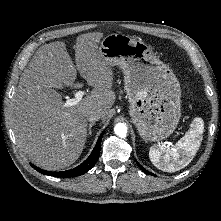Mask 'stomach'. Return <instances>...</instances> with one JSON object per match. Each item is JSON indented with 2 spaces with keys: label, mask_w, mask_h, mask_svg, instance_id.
I'll return each mask as SVG.
<instances>
[{
  "label": "stomach",
  "mask_w": 221,
  "mask_h": 221,
  "mask_svg": "<svg viewBox=\"0 0 221 221\" xmlns=\"http://www.w3.org/2000/svg\"><path fill=\"white\" fill-rule=\"evenodd\" d=\"M99 51L109 65L118 66L130 102L129 113L145 141H160L175 130L181 115L180 84L142 41L121 33L105 36Z\"/></svg>",
  "instance_id": "obj_1"
}]
</instances>
